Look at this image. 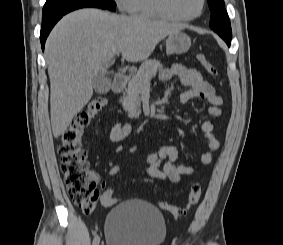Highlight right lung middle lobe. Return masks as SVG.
Wrapping results in <instances>:
<instances>
[{
    "instance_id": "obj_1",
    "label": "right lung middle lobe",
    "mask_w": 283,
    "mask_h": 245,
    "mask_svg": "<svg viewBox=\"0 0 283 245\" xmlns=\"http://www.w3.org/2000/svg\"><path fill=\"white\" fill-rule=\"evenodd\" d=\"M92 4L116 6V3L113 0H47L43 7L42 18L73 7Z\"/></svg>"
}]
</instances>
